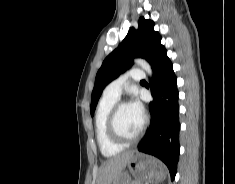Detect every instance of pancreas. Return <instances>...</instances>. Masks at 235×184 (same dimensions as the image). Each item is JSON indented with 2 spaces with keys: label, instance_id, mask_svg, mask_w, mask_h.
<instances>
[{
  "label": "pancreas",
  "instance_id": "obj_1",
  "mask_svg": "<svg viewBox=\"0 0 235 184\" xmlns=\"http://www.w3.org/2000/svg\"><path fill=\"white\" fill-rule=\"evenodd\" d=\"M132 184H138V182H132Z\"/></svg>",
  "mask_w": 235,
  "mask_h": 184
}]
</instances>
